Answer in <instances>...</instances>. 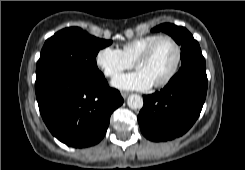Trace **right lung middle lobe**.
<instances>
[{
	"instance_id": "obj_1",
	"label": "right lung middle lobe",
	"mask_w": 245,
	"mask_h": 170,
	"mask_svg": "<svg viewBox=\"0 0 245 170\" xmlns=\"http://www.w3.org/2000/svg\"><path fill=\"white\" fill-rule=\"evenodd\" d=\"M112 41L89 35L78 27L65 28L49 38L36 67L35 88L66 74L100 72L96 64L98 51Z\"/></svg>"
}]
</instances>
